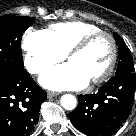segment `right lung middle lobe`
I'll return each mask as SVG.
<instances>
[{
  "mask_svg": "<svg viewBox=\"0 0 136 136\" xmlns=\"http://www.w3.org/2000/svg\"><path fill=\"white\" fill-rule=\"evenodd\" d=\"M34 21L32 17H0V74H17L24 71L21 36Z\"/></svg>",
  "mask_w": 136,
  "mask_h": 136,
  "instance_id": "dd1d6c3e",
  "label": "right lung middle lobe"
}]
</instances>
